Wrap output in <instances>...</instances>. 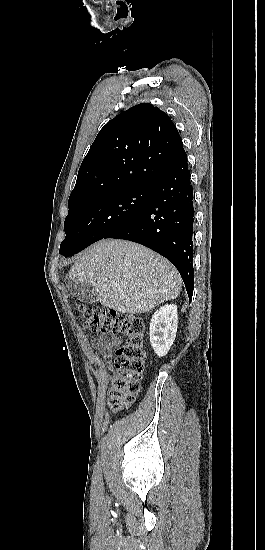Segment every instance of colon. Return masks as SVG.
<instances>
[{
	"mask_svg": "<svg viewBox=\"0 0 265 550\" xmlns=\"http://www.w3.org/2000/svg\"><path fill=\"white\" fill-rule=\"evenodd\" d=\"M84 327L95 333L123 335L125 342L116 353L115 367L119 373L110 393V407L121 411L130 406L139 391L144 368L145 320L137 315L118 313L111 309L80 306Z\"/></svg>",
	"mask_w": 265,
	"mask_h": 550,
	"instance_id": "5ec220e1",
	"label": "colon"
}]
</instances>
